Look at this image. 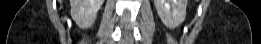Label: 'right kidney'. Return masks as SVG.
I'll use <instances>...</instances> for the list:
<instances>
[{
    "instance_id": "right-kidney-1",
    "label": "right kidney",
    "mask_w": 261,
    "mask_h": 44,
    "mask_svg": "<svg viewBox=\"0 0 261 44\" xmlns=\"http://www.w3.org/2000/svg\"><path fill=\"white\" fill-rule=\"evenodd\" d=\"M103 0H70L71 16L80 28L91 27Z\"/></svg>"
}]
</instances>
